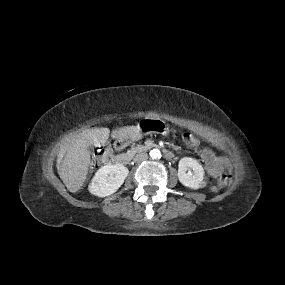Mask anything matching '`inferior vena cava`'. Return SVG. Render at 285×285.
<instances>
[{
	"label": "inferior vena cava",
	"mask_w": 285,
	"mask_h": 285,
	"mask_svg": "<svg viewBox=\"0 0 285 285\" xmlns=\"http://www.w3.org/2000/svg\"><path fill=\"white\" fill-rule=\"evenodd\" d=\"M148 159V154L145 152L139 153L134 157V161L139 163Z\"/></svg>",
	"instance_id": "602c4592"
}]
</instances>
